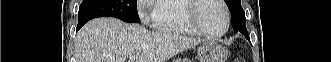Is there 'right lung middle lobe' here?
Here are the masks:
<instances>
[{
	"label": "right lung middle lobe",
	"mask_w": 331,
	"mask_h": 62,
	"mask_svg": "<svg viewBox=\"0 0 331 62\" xmlns=\"http://www.w3.org/2000/svg\"><path fill=\"white\" fill-rule=\"evenodd\" d=\"M96 17H115L124 22H140L136 0H83L78 12V26Z\"/></svg>",
	"instance_id": "dd1d6c3e"
}]
</instances>
